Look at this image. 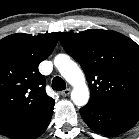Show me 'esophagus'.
I'll list each match as a JSON object with an SVG mask.
<instances>
[{
	"instance_id": "1",
	"label": "esophagus",
	"mask_w": 139,
	"mask_h": 139,
	"mask_svg": "<svg viewBox=\"0 0 139 139\" xmlns=\"http://www.w3.org/2000/svg\"><path fill=\"white\" fill-rule=\"evenodd\" d=\"M70 92H71V90L69 88H67V89L61 91L60 94L62 96H68L70 94Z\"/></svg>"
}]
</instances>
